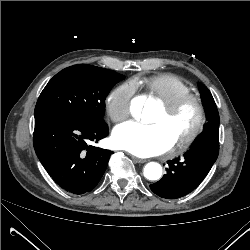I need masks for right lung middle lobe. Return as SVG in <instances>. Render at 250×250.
Segmentation results:
<instances>
[{"instance_id": "obj_1", "label": "right lung middle lobe", "mask_w": 250, "mask_h": 250, "mask_svg": "<svg viewBox=\"0 0 250 250\" xmlns=\"http://www.w3.org/2000/svg\"><path fill=\"white\" fill-rule=\"evenodd\" d=\"M125 76L87 64L74 65L56 74L43 89L34 115L56 114L104 122L105 99Z\"/></svg>"}]
</instances>
